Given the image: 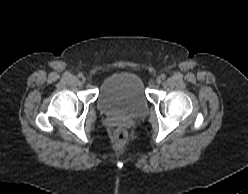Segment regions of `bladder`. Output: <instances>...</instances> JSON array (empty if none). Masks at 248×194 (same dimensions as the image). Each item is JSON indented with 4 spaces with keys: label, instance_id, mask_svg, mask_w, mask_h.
I'll return each mask as SVG.
<instances>
[{
    "label": "bladder",
    "instance_id": "bladder-1",
    "mask_svg": "<svg viewBox=\"0 0 248 194\" xmlns=\"http://www.w3.org/2000/svg\"><path fill=\"white\" fill-rule=\"evenodd\" d=\"M148 105L144 82L133 72L112 74L98 95V107L106 114L141 117L146 114Z\"/></svg>",
    "mask_w": 248,
    "mask_h": 194
}]
</instances>
